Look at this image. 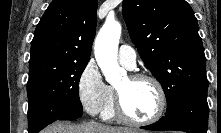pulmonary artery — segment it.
Segmentation results:
<instances>
[{
  "label": "pulmonary artery",
  "mask_w": 221,
  "mask_h": 133,
  "mask_svg": "<svg viewBox=\"0 0 221 133\" xmlns=\"http://www.w3.org/2000/svg\"><path fill=\"white\" fill-rule=\"evenodd\" d=\"M119 63L128 69H133L136 65V53L128 45H122L118 51Z\"/></svg>",
  "instance_id": "1"
}]
</instances>
